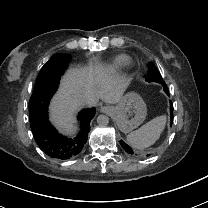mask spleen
Returning <instances> with one entry per match:
<instances>
[{
	"label": "spleen",
	"instance_id": "obj_1",
	"mask_svg": "<svg viewBox=\"0 0 208 208\" xmlns=\"http://www.w3.org/2000/svg\"><path fill=\"white\" fill-rule=\"evenodd\" d=\"M165 117H156L142 125L139 129L132 131L127 136L130 145L136 148H144L156 141L165 126Z\"/></svg>",
	"mask_w": 208,
	"mask_h": 208
}]
</instances>
